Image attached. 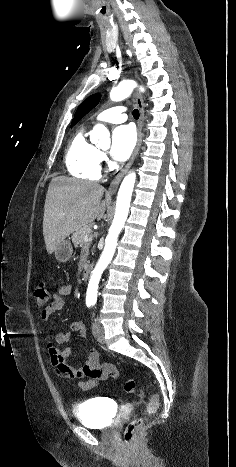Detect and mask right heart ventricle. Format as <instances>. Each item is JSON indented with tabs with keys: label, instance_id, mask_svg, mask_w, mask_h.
<instances>
[{
	"label": "right heart ventricle",
	"instance_id": "1",
	"mask_svg": "<svg viewBox=\"0 0 236 467\" xmlns=\"http://www.w3.org/2000/svg\"><path fill=\"white\" fill-rule=\"evenodd\" d=\"M99 150L87 140L84 129L79 130L69 143L65 165L68 173L78 179L96 181L101 177Z\"/></svg>",
	"mask_w": 236,
	"mask_h": 467
}]
</instances>
